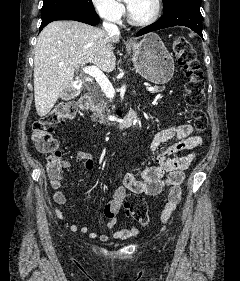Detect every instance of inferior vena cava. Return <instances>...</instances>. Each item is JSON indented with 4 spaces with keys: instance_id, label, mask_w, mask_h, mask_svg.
I'll use <instances>...</instances> for the list:
<instances>
[{
    "instance_id": "1",
    "label": "inferior vena cava",
    "mask_w": 240,
    "mask_h": 281,
    "mask_svg": "<svg viewBox=\"0 0 240 281\" xmlns=\"http://www.w3.org/2000/svg\"><path fill=\"white\" fill-rule=\"evenodd\" d=\"M103 28L106 31L107 35L110 37L120 35V31H119V28L117 27V25H115L109 21L103 22Z\"/></svg>"
}]
</instances>
